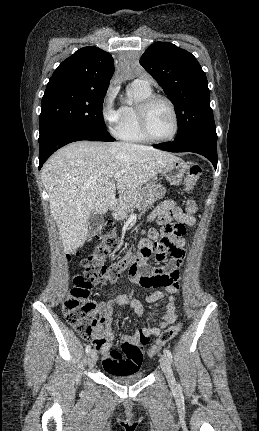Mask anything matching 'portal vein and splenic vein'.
Wrapping results in <instances>:
<instances>
[{
  "label": "portal vein and splenic vein",
  "mask_w": 259,
  "mask_h": 431,
  "mask_svg": "<svg viewBox=\"0 0 259 431\" xmlns=\"http://www.w3.org/2000/svg\"><path fill=\"white\" fill-rule=\"evenodd\" d=\"M123 174H124V171H118V172H116V173L113 175V178H114V179H119V178H121V177L123 176Z\"/></svg>",
  "instance_id": "portal-vein-and-splenic-vein-1"
}]
</instances>
